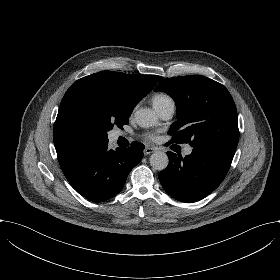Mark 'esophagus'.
<instances>
[{"instance_id": "esophagus-1", "label": "esophagus", "mask_w": 280, "mask_h": 280, "mask_svg": "<svg viewBox=\"0 0 280 280\" xmlns=\"http://www.w3.org/2000/svg\"><path fill=\"white\" fill-rule=\"evenodd\" d=\"M144 155L145 156H148V155H150V154H152V153H154L155 152V148H152V147H146L145 149H144Z\"/></svg>"}]
</instances>
